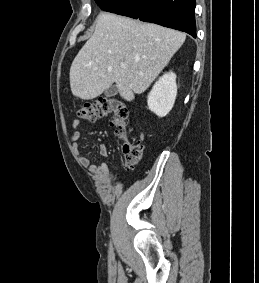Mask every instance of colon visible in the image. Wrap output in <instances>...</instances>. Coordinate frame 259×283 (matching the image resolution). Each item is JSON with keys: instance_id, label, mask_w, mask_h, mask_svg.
Instances as JSON below:
<instances>
[{"instance_id": "5ec220e1", "label": "colon", "mask_w": 259, "mask_h": 283, "mask_svg": "<svg viewBox=\"0 0 259 283\" xmlns=\"http://www.w3.org/2000/svg\"><path fill=\"white\" fill-rule=\"evenodd\" d=\"M78 117L94 121L98 118L112 116V124L117 135L126 139L130 129V111L128 106L116 97H101L92 103L83 104L78 110ZM144 144L140 141H126L122 146V159L125 166L136 165L143 153Z\"/></svg>"}]
</instances>
